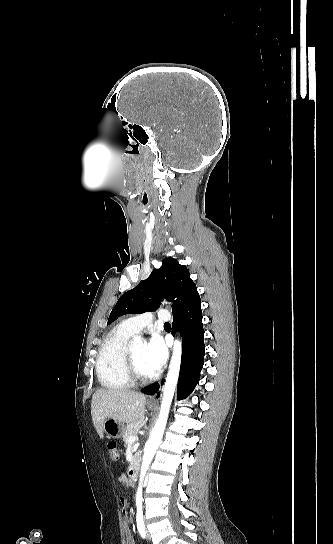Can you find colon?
Here are the masks:
<instances>
[{
    "label": "colon",
    "instance_id": "obj_1",
    "mask_svg": "<svg viewBox=\"0 0 333 544\" xmlns=\"http://www.w3.org/2000/svg\"><path fill=\"white\" fill-rule=\"evenodd\" d=\"M107 449L109 453V457L111 460L115 461L118 459V447L117 444L114 441H110L107 444Z\"/></svg>",
    "mask_w": 333,
    "mask_h": 544
}]
</instances>
